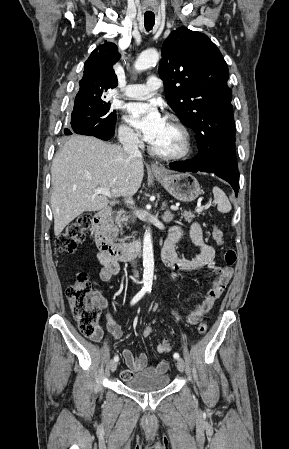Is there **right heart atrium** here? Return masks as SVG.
I'll return each instance as SVG.
<instances>
[{
  "instance_id": "d8ad5b80",
  "label": "right heart atrium",
  "mask_w": 289,
  "mask_h": 449,
  "mask_svg": "<svg viewBox=\"0 0 289 449\" xmlns=\"http://www.w3.org/2000/svg\"><path fill=\"white\" fill-rule=\"evenodd\" d=\"M119 139L125 145H136L139 143L136 132L125 124L119 127Z\"/></svg>"
}]
</instances>
